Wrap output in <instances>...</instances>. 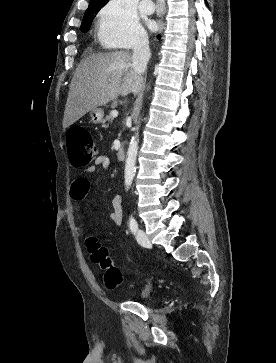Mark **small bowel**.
Returning <instances> with one entry per match:
<instances>
[{
  "label": "small bowel",
  "mask_w": 276,
  "mask_h": 363,
  "mask_svg": "<svg viewBox=\"0 0 276 363\" xmlns=\"http://www.w3.org/2000/svg\"><path fill=\"white\" fill-rule=\"evenodd\" d=\"M109 158L107 155H101L97 158L95 163L84 170V173H92L98 168L108 169ZM90 189V182L87 177L80 175L73 179L69 194L73 201L82 202L86 199ZM109 218L117 227L122 225V197L115 195L112 199V211L109 213Z\"/></svg>",
  "instance_id": "small-bowel-1"
}]
</instances>
